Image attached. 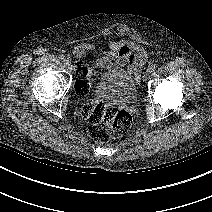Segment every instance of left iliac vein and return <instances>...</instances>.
Returning <instances> with one entry per match:
<instances>
[{"mask_svg":"<svg viewBox=\"0 0 212 212\" xmlns=\"http://www.w3.org/2000/svg\"><path fill=\"white\" fill-rule=\"evenodd\" d=\"M150 77H151V72L148 69L143 75V80L147 81Z\"/></svg>","mask_w":212,"mask_h":212,"instance_id":"obj_1","label":"left iliac vein"}]
</instances>
